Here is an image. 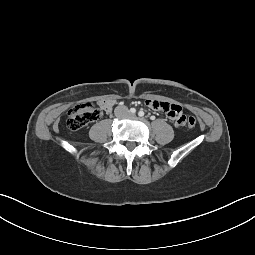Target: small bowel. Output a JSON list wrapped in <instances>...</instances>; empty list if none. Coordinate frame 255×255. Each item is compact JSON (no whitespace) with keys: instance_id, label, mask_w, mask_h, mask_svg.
Returning a JSON list of instances; mask_svg holds the SVG:
<instances>
[{"instance_id":"c3829d8e","label":"small bowel","mask_w":255,"mask_h":255,"mask_svg":"<svg viewBox=\"0 0 255 255\" xmlns=\"http://www.w3.org/2000/svg\"><path fill=\"white\" fill-rule=\"evenodd\" d=\"M114 99H105L99 102L100 107L106 112L110 113L115 106ZM146 105L151 109L165 115L175 128H182L188 121L179 105L162 102L159 100H147Z\"/></svg>"}]
</instances>
